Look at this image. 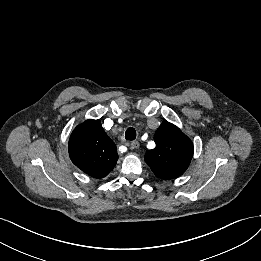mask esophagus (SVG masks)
<instances>
[{
    "label": "esophagus",
    "instance_id": "1",
    "mask_svg": "<svg viewBox=\"0 0 261 261\" xmlns=\"http://www.w3.org/2000/svg\"><path fill=\"white\" fill-rule=\"evenodd\" d=\"M130 146H131V148L137 149L140 147V144L138 141H132Z\"/></svg>",
    "mask_w": 261,
    "mask_h": 261
}]
</instances>
